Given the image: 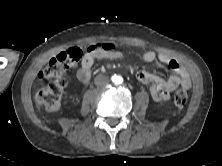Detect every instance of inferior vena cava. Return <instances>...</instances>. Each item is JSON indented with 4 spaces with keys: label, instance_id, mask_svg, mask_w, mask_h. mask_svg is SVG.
I'll return each mask as SVG.
<instances>
[{
    "label": "inferior vena cava",
    "instance_id": "1",
    "mask_svg": "<svg viewBox=\"0 0 222 166\" xmlns=\"http://www.w3.org/2000/svg\"><path fill=\"white\" fill-rule=\"evenodd\" d=\"M108 83H109V78L105 75H98L95 78V84L97 86H104V85H107Z\"/></svg>",
    "mask_w": 222,
    "mask_h": 166
}]
</instances>
